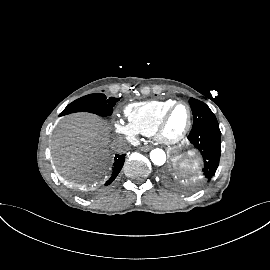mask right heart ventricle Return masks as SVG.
<instances>
[{
  "label": "right heart ventricle",
  "mask_w": 270,
  "mask_h": 270,
  "mask_svg": "<svg viewBox=\"0 0 270 270\" xmlns=\"http://www.w3.org/2000/svg\"><path fill=\"white\" fill-rule=\"evenodd\" d=\"M176 101L173 99L151 100L127 105L124 109L128 124L137 132L151 136L162 114Z\"/></svg>",
  "instance_id": "right-heart-ventricle-1"
}]
</instances>
